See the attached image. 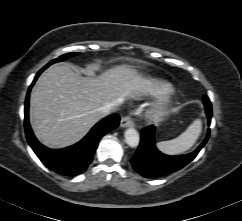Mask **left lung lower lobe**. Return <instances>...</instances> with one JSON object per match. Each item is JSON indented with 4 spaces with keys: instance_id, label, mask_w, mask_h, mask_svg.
<instances>
[{
    "instance_id": "0a47b994",
    "label": "left lung lower lobe",
    "mask_w": 242,
    "mask_h": 221,
    "mask_svg": "<svg viewBox=\"0 0 242 221\" xmlns=\"http://www.w3.org/2000/svg\"><path fill=\"white\" fill-rule=\"evenodd\" d=\"M203 102L208 118V125H210L212 117L211 102L206 95L203 97ZM209 132L210 129H208L205 140L194 152L182 156H169L158 151L155 146V127H146L141 131L140 145L131 159V164L136 172L147 178L159 177L178 171L197 156L206 144L209 138Z\"/></svg>"
}]
</instances>
